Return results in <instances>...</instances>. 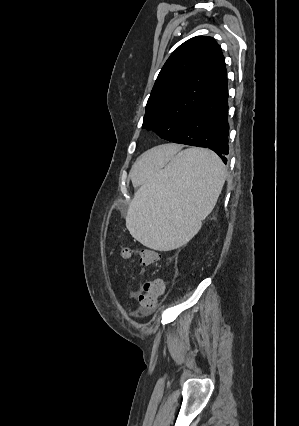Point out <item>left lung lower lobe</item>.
<instances>
[{"mask_svg":"<svg viewBox=\"0 0 299 426\" xmlns=\"http://www.w3.org/2000/svg\"><path fill=\"white\" fill-rule=\"evenodd\" d=\"M227 99L228 85L225 79L216 92L195 109L172 142L209 148L226 163L229 150Z\"/></svg>","mask_w":299,"mask_h":426,"instance_id":"left-lung-lower-lobe-1","label":"left lung lower lobe"}]
</instances>
